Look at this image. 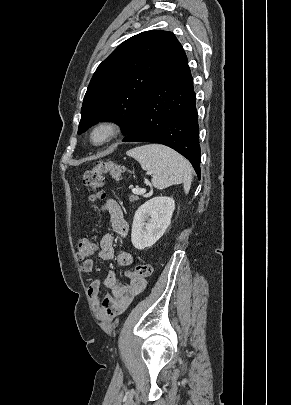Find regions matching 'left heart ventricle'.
<instances>
[{
    "label": "left heart ventricle",
    "mask_w": 291,
    "mask_h": 405,
    "mask_svg": "<svg viewBox=\"0 0 291 405\" xmlns=\"http://www.w3.org/2000/svg\"><path fill=\"white\" fill-rule=\"evenodd\" d=\"M100 137H101V135H98V136H97V138H100Z\"/></svg>",
    "instance_id": "b2bd125f"
}]
</instances>
